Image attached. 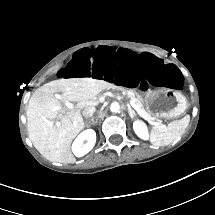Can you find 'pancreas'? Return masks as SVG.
I'll return each instance as SVG.
<instances>
[{"label": "pancreas", "instance_id": "cf45deb5", "mask_svg": "<svg viewBox=\"0 0 215 215\" xmlns=\"http://www.w3.org/2000/svg\"><path fill=\"white\" fill-rule=\"evenodd\" d=\"M121 91H123V89H121ZM130 99H134L135 103L138 104V106L140 107V109L142 111L145 112V114H149L146 109H145V105H144V100L142 98H140V96L134 94L131 97H129ZM152 119V118H151Z\"/></svg>", "mask_w": 215, "mask_h": 215}]
</instances>
